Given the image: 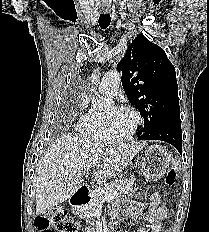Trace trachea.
<instances>
[{
	"instance_id": "3493384b",
	"label": "trachea",
	"mask_w": 209,
	"mask_h": 232,
	"mask_svg": "<svg viewBox=\"0 0 209 232\" xmlns=\"http://www.w3.org/2000/svg\"><path fill=\"white\" fill-rule=\"evenodd\" d=\"M98 22L102 29H106L110 25L111 17L109 14H100Z\"/></svg>"
}]
</instances>
